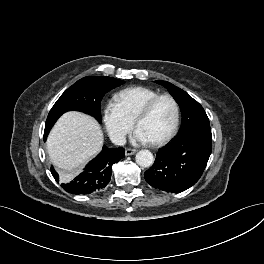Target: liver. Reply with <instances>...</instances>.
<instances>
[{
	"instance_id": "obj_1",
	"label": "liver",
	"mask_w": 264,
	"mask_h": 264,
	"mask_svg": "<svg viewBox=\"0 0 264 264\" xmlns=\"http://www.w3.org/2000/svg\"><path fill=\"white\" fill-rule=\"evenodd\" d=\"M103 132L91 116L71 111L51 130L46 146L52 163L64 181L71 180L102 149Z\"/></svg>"
}]
</instances>
